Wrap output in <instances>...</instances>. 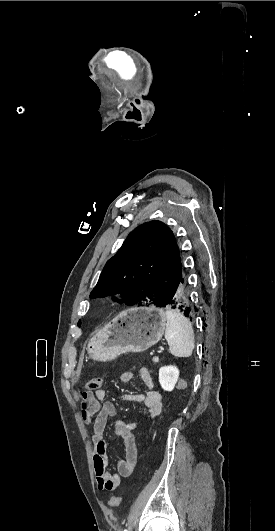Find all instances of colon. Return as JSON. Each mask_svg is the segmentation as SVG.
<instances>
[{"instance_id": "1", "label": "colon", "mask_w": 275, "mask_h": 531, "mask_svg": "<svg viewBox=\"0 0 275 531\" xmlns=\"http://www.w3.org/2000/svg\"><path fill=\"white\" fill-rule=\"evenodd\" d=\"M103 378L102 376H95L90 378L86 383V390L88 392H96L99 391L102 387ZM141 435L143 437H146L148 435V429H145L141 432ZM123 500V497L121 495H114L109 498L108 504L111 508H118Z\"/></svg>"}]
</instances>
